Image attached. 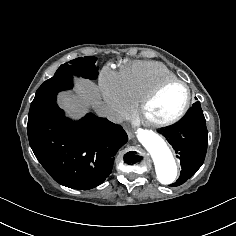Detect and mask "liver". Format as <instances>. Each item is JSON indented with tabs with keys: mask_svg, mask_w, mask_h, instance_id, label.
<instances>
[{
	"mask_svg": "<svg viewBox=\"0 0 236 236\" xmlns=\"http://www.w3.org/2000/svg\"><path fill=\"white\" fill-rule=\"evenodd\" d=\"M78 93L84 102L90 103L92 105L100 104V95L98 89L94 83L88 80H81L77 85ZM60 102L63 107H65L71 113H78L80 103L75 102L74 99L69 97L67 94H62L60 97Z\"/></svg>",
	"mask_w": 236,
	"mask_h": 236,
	"instance_id": "1",
	"label": "liver"
}]
</instances>
